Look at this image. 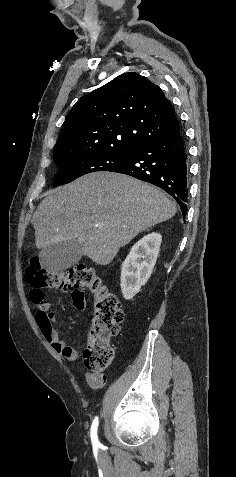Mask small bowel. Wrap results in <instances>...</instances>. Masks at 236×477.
I'll use <instances>...</instances> for the list:
<instances>
[{"label": "small bowel", "instance_id": "1", "mask_svg": "<svg viewBox=\"0 0 236 477\" xmlns=\"http://www.w3.org/2000/svg\"><path fill=\"white\" fill-rule=\"evenodd\" d=\"M43 299L44 294L42 300L34 302L38 306V311L35 315V322L40 333L44 339L52 345L54 350L60 353L66 360L70 362L77 360L79 358V351L61 340L58 331L54 327L56 315L52 311L50 304ZM72 300L79 310L86 309L87 302L83 294H74ZM86 380L90 385L94 386L102 381V377L100 374L93 373L88 374Z\"/></svg>", "mask_w": 236, "mask_h": 477}]
</instances>
